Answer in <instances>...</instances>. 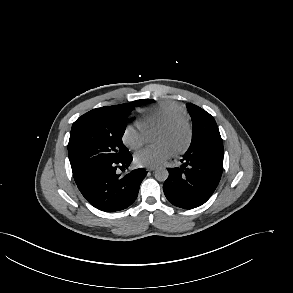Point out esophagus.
<instances>
[{
  "label": "esophagus",
  "mask_w": 293,
  "mask_h": 293,
  "mask_svg": "<svg viewBox=\"0 0 293 293\" xmlns=\"http://www.w3.org/2000/svg\"><path fill=\"white\" fill-rule=\"evenodd\" d=\"M156 169V167H147L146 170L149 172H152Z\"/></svg>",
  "instance_id": "esophagus-1"
}]
</instances>
